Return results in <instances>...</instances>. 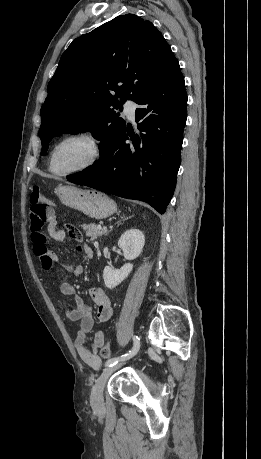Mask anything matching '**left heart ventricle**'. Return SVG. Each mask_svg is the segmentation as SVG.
I'll return each mask as SVG.
<instances>
[{
  "instance_id": "left-heart-ventricle-1",
  "label": "left heart ventricle",
  "mask_w": 261,
  "mask_h": 459,
  "mask_svg": "<svg viewBox=\"0 0 261 459\" xmlns=\"http://www.w3.org/2000/svg\"><path fill=\"white\" fill-rule=\"evenodd\" d=\"M89 152V146L85 141H67L56 150L52 160V167L58 172L70 170L83 163L87 159Z\"/></svg>"
}]
</instances>
